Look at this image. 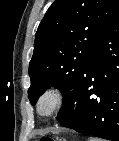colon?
Wrapping results in <instances>:
<instances>
[{"instance_id": "5ec220e1", "label": "colon", "mask_w": 119, "mask_h": 141, "mask_svg": "<svg viewBox=\"0 0 119 141\" xmlns=\"http://www.w3.org/2000/svg\"><path fill=\"white\" fill-rule=\"evenodd\" d=\"M41 141H54V140L50 137H44L41 139Z\"/></svg>"}]
</instances>
